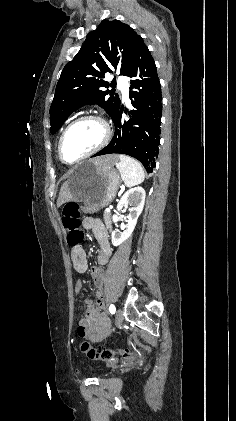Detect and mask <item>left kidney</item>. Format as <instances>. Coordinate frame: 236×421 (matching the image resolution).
I'll return each mask as SVG.
<instances>
[{
	"instance_id": "5707ae66",
	"label": "left kidney",
	"mask_w": 236,
	"mask_h": 421,
	"mask_svg": "<svg viewBox=\"0 0 236 421\" xmlns=\"http://www.w3.org/2000/svg\"><path fill=\"white\" fill-rule=\"evenodd\" d=\"M145 196L146 192L144 188H142V186H135V188H129V190H126L123 196H121L117 204V211H115L116 215H113L112 221L113 223H117V221H120L118 217L119 213H124V211H122V208H125L127 204H130L129 215L127 217L129 225L128 227H126V231H123V233H120L118 229H116V231H113L111 235V241L114 247H118V245H121V243H124V241H127V239L131 237L136 227L137 219L143 211Z\"/></svg>"
}]
</instances>
